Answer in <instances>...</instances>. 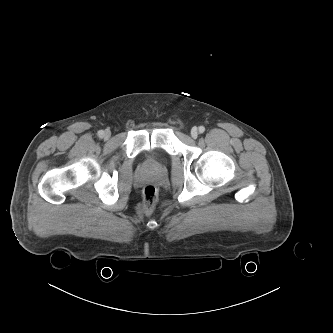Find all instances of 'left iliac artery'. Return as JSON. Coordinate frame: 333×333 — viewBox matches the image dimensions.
<instances>
[{"mask_svg": "<svg viewBox=\"0 0 333 333\" xmlns=\"http://www.w3.org/2000/svg\"><path fill=\"white\" fill-rule=\"evenodd\" d=\"M204 131H205V127H204V126H200V127H199V132H200V133H203Z\"/></svg>", "mask_w": 333, "mask_h": 333, "instance_id": "1", "label": "left iliac artery"}]
</instances>
